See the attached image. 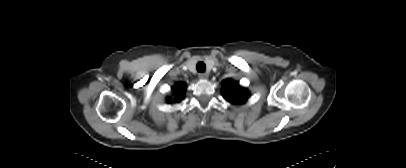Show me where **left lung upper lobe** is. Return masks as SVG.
Instances as JSON below:
<instances>
[{
  "instance_id": "1",
  "label": "left lung upper lobe",
  "mask_w": 406,
  "mask_h": 168,
  "mask_svg": "<svg viewBox=\"0 0 406 168\" xmlns=\"http://www.w3.org/2000/svg\"><path fill=\"white\" fill-rule=\"evenodd\" d=\"M222 94L227 101L233 104H242L249 97V92L231 79L222 82Z\"/></svg>"
}]
</instances>
